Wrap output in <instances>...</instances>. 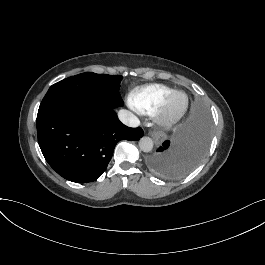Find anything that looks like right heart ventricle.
I'll use <instances>...</instances> for the list:
<instances>
[{
	"label": "right heart ventricle",
	"instance_id": "e07e8e85",
	"mask_svg": "<svg viewBox=\"0 0 265 265\" xmlns=\"http://www.w3.org/2000/svg\"><path fill=\"white\" fill-rule=\"evenodd\" d=\"M174 90L155 85L147 90H141L135 93L132 102L134 108L141 114L154 115L165 104Z\"/></svg>",
	"mask_w": 265,
	"mask_h": 265
}]
</instances>
